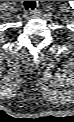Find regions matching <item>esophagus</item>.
<instances>
[{
	"instance_id": "34e87169",
	"label": "esophagus",
	"mask_w": 74,
	"mask_h": 122,
	"mask_svg": "<svg viewBox=\"0 0 74 122\" xmlns=\"http://www.w3.org/2000/svg\"><path fill=\"white\" fill-rule=\"evenodd\" d=\"M38 14H39V11L38 10H30V11H28V15L30 17H37Z\"/></svg>"
}]
</instances>
